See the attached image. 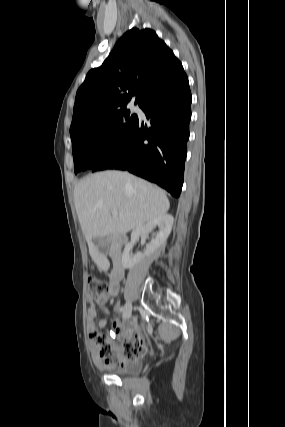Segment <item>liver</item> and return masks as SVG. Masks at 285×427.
<instances>
[{
    "instance_id": "6515ba94",
    "label": "liver",
    "mask_w": 285,
    "mask_h": 427,
    "mask_svg": "<svg viewBox=\"0 0 285 427\" xmlns=\"http://www.w3.org/2000/svg\"><path fill=\"white\" fill-rule=\"evenodd\" d=\"M74 200L82 232L93 259L105 260L92 240L109 235H125L146 222L166 214L170 202L159 187L128 172L104 171L80 180ZM113 210L118 211L112 216Z\"/></svg>"
}]
</instances>
